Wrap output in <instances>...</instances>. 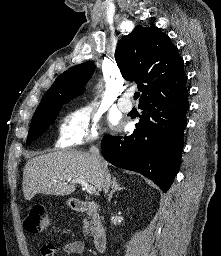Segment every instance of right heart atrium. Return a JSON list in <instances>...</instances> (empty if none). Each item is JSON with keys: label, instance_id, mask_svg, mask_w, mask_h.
Listing matches in <instances>:
<instances>
[{"label": "right heart atrium", "instance_id": "d8ad5b80", "mask_svg": "<svg viewBox=\"0 0 221 256\" xmlns=\"http://www.w3.org/2000/svg\"><path fill=\"white\" fill-rule=\"evenodd\" d=\"M101 113L93 103L69 110L59 126L58 142L78 146L96 140L101 132Z\"/></svg>", "mask_w": 221, "mask_h": 256}]
</instances>
